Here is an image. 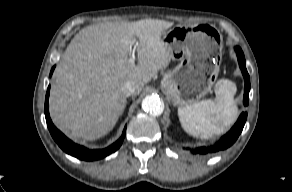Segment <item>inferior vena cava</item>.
<instances>
[{
	"instance_id": "obj_1",
	"label": "inferior vena cava",
	"mask_w": 292,
	"mask_h": 192,
	"mask_svg": "<svg viewBox=\"0 0 292 192\" xmlns=\"http://www.w3.org/2000/svg\"><path fill=\"white\" fill-rule=\"evenodd\" d=\"M122 89L126 96H131L136 93V87L130 81L125 82L122 86Z\"/></svg>"
}]
</instances>
